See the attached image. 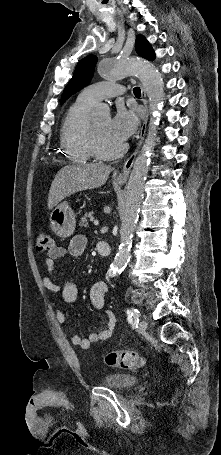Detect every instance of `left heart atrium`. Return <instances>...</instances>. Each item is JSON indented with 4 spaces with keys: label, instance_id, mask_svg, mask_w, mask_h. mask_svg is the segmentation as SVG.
Returning <instances> with one entry per match:
<instances>
[{
    "label": "left heart atrium",
    "instance_id": "left-heart-atrium-1",
    "mask_svg": "<svg viewBox=\"0 0 221 455\" xmlns=\"http://www.w3.org/2000/svg\"><path fill=\"white\" fill-rule=\"evenodd\" d=\"M137 125L138 118L135 112L124 107L118 108L110 122L112 133L121 141L128 139L135 132Z\"/></svg>",
    "mask_w": 221,
    "mask_h": 455
}]
</instances>
